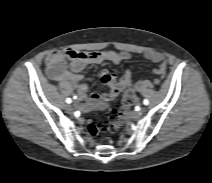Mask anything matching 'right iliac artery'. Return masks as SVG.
I'll use <instances>...</instances> for the list:
<instances>
[{"label":"right iliac artery","instance_id":"82829eb1","mask_svg":"<svg viewBox=\"0 0 212 183\" xmlns=\"http://www.w3.org/2000/svg\"><path fill=\"white\" fill-rule=\"evenodd\" d=\"M66 102H67L68 104H70V103L72 102V100H71L70 98H67V99H66Z\"/></svg>","mask_w":212,"mask_h":183}]
</instances>
